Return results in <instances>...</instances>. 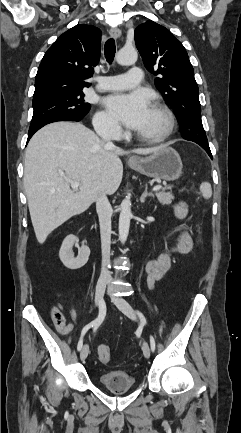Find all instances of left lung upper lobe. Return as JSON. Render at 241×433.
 Wrapping results in <instances>:
<instances>
[{
  "instance_id": "1",
  "label": "left lung upper lobe",
  "mask_w": 241,
  "mask_h": 433,
  "mask_svg": "<svg viewBox=\"0 0 241 433\" xmlns=\"http://www.w3.org/2000/svg\"><path fill=\"white\" fill-rule=\"evenodd\" d=\"M135 42L145 67L158 77L155 85L175 110L182 137L209 146L201 121L198 85L182 43L165 27L146 21L135 29Z\"/></svg>"
}]
</instances>
